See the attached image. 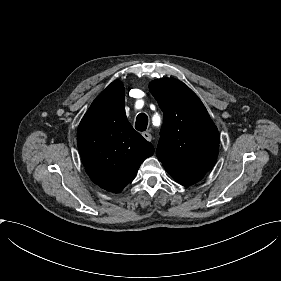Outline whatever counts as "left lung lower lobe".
<instances>
[{"instance_id":"0a47b994","label":"left lung lower lobe","mask_w":281,"mask_h":281,"mask_svg":"<svg viewBox=\"0 0 281 281\" xmlns=\"http://www.w3.org/2000/svg\"><path fill=\"white\" fill-rule=\"evenodd\" d=\"M166 171L174 178L175 181H177L178 183L182 184V185H191L194 184L196 182H198L199 180H201L205 174H196V175H190V174H184V173H180L177 171H173V170H167Z\"/></svg>"}]
</instances>
